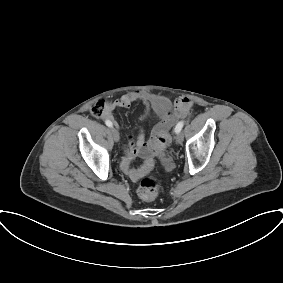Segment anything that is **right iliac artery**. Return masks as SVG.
<instances>
[{"mask_svg":"<svg viewBox=\"0 0 283 283\" xmlns=\"http://www.w3.org/2000/svg\"><path fill=\"white\" fill-rule=\"evenodd\" d=\"M105 124H106L108 127H112V122L109 121V120H106V121H105Z\"/></svg>","mask_w":283,"mask_h":283,"instance_id":"1","label":"right iliac artery"}]
</instances>
